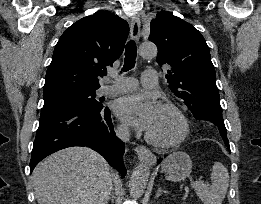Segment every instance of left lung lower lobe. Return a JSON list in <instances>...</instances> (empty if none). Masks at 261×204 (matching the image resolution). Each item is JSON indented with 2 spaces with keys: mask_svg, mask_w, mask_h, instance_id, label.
<instances>
[{
  "mask_svg": "<svg viewBox=\"0 0 261 204\" xmlns=\"http://www.w3.org/2000/svg\"><path fill=\"white\" fill-rule=\"evenodd\" d=\"M222 138H223L225 144L229 147V142H228L227 136L223 135ZM160 162H161V159L158 160V163H160Z\"/></svg>",
  "mask_w": 261,
  "mask_h": 204,
  "instance_id": "1",
  "label": "left lung lower lobe"
}]
</instances>
